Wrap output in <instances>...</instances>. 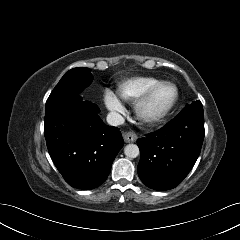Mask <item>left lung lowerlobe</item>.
Segmentation results:
<instances>
[{
  "label": "left lung lower lobe",
  "instance_id": "obj_1",
  "mask_svg": "<svg viewBox=\"0 0 240 240\" xmlns=\"http://www.w3.org/2000/svg\"><path fill=\"white\" fill-rule=\"evenodd\" d=\"M203 139L202 103H192L164 127L137 140L141 181L160 191L178 186L194 166Z\"/></svg>",
  "mask_w": 240,
  "mask_h": 240
}]
</instances>
